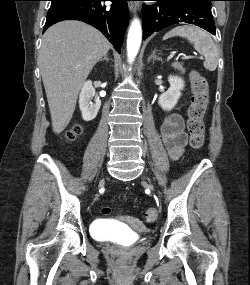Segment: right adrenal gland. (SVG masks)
<instances>
[{"label":"right adrenal gland","instance_id":"obj_1","mask_svg":"<svg viewBox=\"0 0 250 285\" xmlns=\"http://www.w3.org/2000/svg\"><path fill=\"white\" fill-rule=\"evenodd\" d=\"M104 60H105V61H107V62L109 61V59H108V56H107V55H105V56H104L100 61H104Z\"/></svg>","mask_w":250,"mask_h":285}]
</instances>
